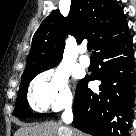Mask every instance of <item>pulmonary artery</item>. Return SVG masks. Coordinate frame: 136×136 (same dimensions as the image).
<instances>
[{
    "label": "pulmonary artery",
    "instance_id": "1",
    "mask_svg": "<svg viewBox=\"0 0 136 136\" xmlns=\"http://www.w3.org/2000/svg\"><path fill=\"white\" fill-rule=\"evenodd\" d=\"M86 48L82 47L80 49L81 52V56L79 57V61L81 63L82 66L84 67H88L90 65V59L89 57L85 54Z\"/></svg>",
    "mask_w": 136,
    "mask_h": 136
}]
</instances>
